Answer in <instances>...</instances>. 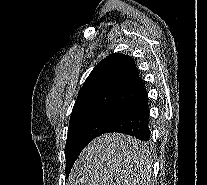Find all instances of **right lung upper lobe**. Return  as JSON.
Returning <instances> with one entry per match:
<instances>
[{"label":"right lung upper lobe","mask_w":207,"mask_h":185,"mask_svg":"<svg viewBox=\"0 0 207 185\" xmlns=\"http://www.w3.org/2000/svg\"><path fill=\"white\" fill-rule=\"evenodd\" d=\"M145 92L133 59L115 53L104 58L91 71L78 93L72 115L96 107L123 111Z\"/></svg>","instance_id":"obj_1"}]
</instances>
